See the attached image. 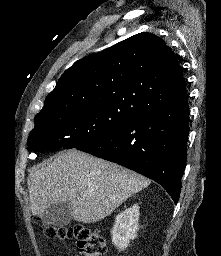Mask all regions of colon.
<instances>
[{
	"label": "colon",
	"mask_w": 221,
	"mask_h": 256,
	"mask_svg": "<svg viewBox=\"0 0 221 256\" xmlns=\"http://www.w3.org/2000/svg\"><path fill=\"white\" fill-rule=\"evenodd\" d=\"M48 238H75L81 256H105L107 246L104 238L95 230L88 227H49L44 230Z\"/></svg>",
	"instance_id": "obj_1"
}]
</instances>
